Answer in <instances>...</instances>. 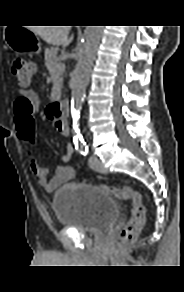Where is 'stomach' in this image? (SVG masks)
Instances as JSON below:
<instances>
[{"instance_id": "0dacf381", "label": "stomach", "mask_w": 184, "mask_h": 292, "mask_svg": "<svg viewBox=\"0 0 184 292\" xmlns=\"http://www.w3.org/2000/svg\"><path fill=\"white\" fill-rule=\"evenodd\" d=\"M4 38L9 48L17 54H39L41 44L37 36L25 27H7Z\"/></svg>"}]
</instances>
